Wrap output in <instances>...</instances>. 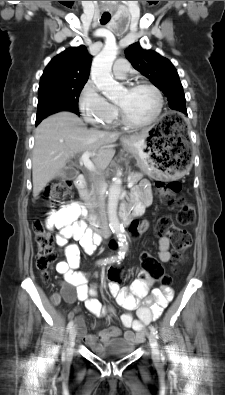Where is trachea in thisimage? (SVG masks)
<instances>
[{"label":"trachea","mask_w":225,"mask_h":395,"mask_svg":"<svg viewBox=\"0 0 225 395\" xmlns=\"http://www.w3.org/2000/svg\"><path fill=\"white\" fill-rule=\"evenodd\" d=\"M110 19H111V16L109 14H103L100 22H101V24L104 25V24H107L110 21Z\"/></svg>","instance_id":"trachea-1"}]
</instances>
